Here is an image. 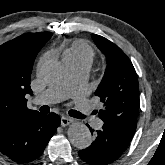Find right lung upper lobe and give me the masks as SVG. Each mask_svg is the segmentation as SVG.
Returning a JSON list of instances; mask_svg holds the SVG:
<instances>
[{
  "label": "right lung upper lobe",
  "instance_id": "right-lung-upper-lobe-1",
  "mask_svg": "<svg viewBox=\"0 0 165 165\" xmlns=\"http://www.w3.org/2000/svg\"><path fill=\"white\" fill-rule=\"evenodd\" d=\"M50 32L27 33L0 46V132L39 112L27 108L34 60Z\"/></svg>",
  "mask_w": 165,
  "mask_h": 165
}]
</instances>
